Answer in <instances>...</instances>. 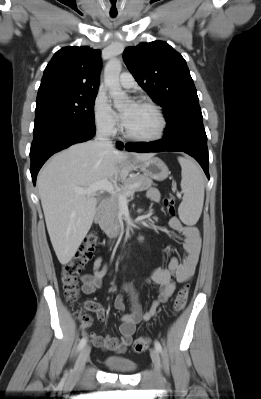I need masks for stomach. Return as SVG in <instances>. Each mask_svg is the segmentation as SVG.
I'll list each match as a JSON object with an SVG mask.
<instances>
[{
  "label": "stomach",
  "mask_w": 261,
  "mask_h": 399,
  "mask_svg": "<svg viewBox=\"0 0 261 399\" xmlns=\"http://www.w3.org/2000/svg\"><path fill=\"white\" fill-rule=\"evenodd\" d=\"M138 167L145 176L157 181L166 179L170 173L167 165L157 157H152L147 161L141 162Z\"/></svg>",
  "instance_id": "0dacf381"
}]
</instances>
